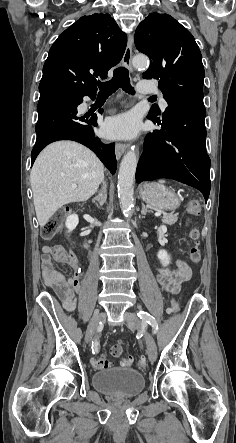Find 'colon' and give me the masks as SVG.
Masks as SVG:
<instances>
[{
  "mask_svg": "<svg viewBox=\"0 0 236 443\" xmlns=\"http://www.w3.org/2000/svg\"><path fill=\"white\" fill-rule=\"evenodd\" d=\"M187 211L192 216H198L201 212L200 202L197 199H191L187 204ZM64 219V214L62 212H58L54 214L49 220H47L44 225L41 227V237L44 240H51L55 237V235L61 229L62 223ZM189 238L194 244L189 253L190 260L194 263H198L201 259V250L198 246V241L200 238V233L197 229H193L189 233ZM178 305L172 301L171 312H178ZM122 353V344L117 342L111 347V354L113 356H119ZM92 366L95 369H107L111 366V362L107 357L103 355H97L92 358ZM133 359L128 357L124 358L121 361V365L123 367H131L133 366ZM139 367L145 369L147 367L146 359L143 357L139 360Z\"/></svg>",
  "mask_w": 236,
  "mask_h": 443,
  "instance_id": "1",
  "label": "colon"
}]
</instances>
